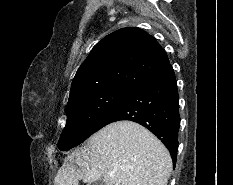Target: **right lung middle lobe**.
I'll list each match as a JSON object with an SVG mask.
<instances>
[{"instance_id": "right-lung-middle-lobe-1", "label": "right lung middle lobe", "mask_w": 233, "mask_h": 185, "mask_svg": "<svg viewBox=\"0 0 233 185\" xmlns=\"http://www.w3.org/2000/svg\"><path fill=\"white\" fill-rule=\"evenodd\" d=\"M130 89L107 87L81 94L68 101L67 122L58 142L69 150L97 131L102 120L126 97Z\"/></svg>"}]
</instances>
